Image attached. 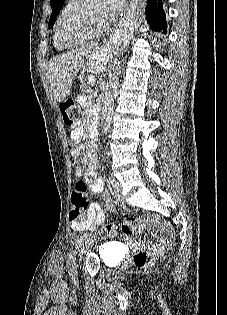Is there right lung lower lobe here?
<instances>
[{
	"label": "right lung lower lobe",
	"instance_id": "1",
	"mask_svg": "<svg viewBox=\"0 0 227 315\" xmlns=\"http://www.w3.org/2000/svg\"><path fill=\"white\" fill-rule=\"evenodd\" d=\"M146 16L150 27L154 31L167 33V23L161 0H147Z\"/></svg>",
	"mask_w": 227,
	"mask_h": 315
}]
</instances>
